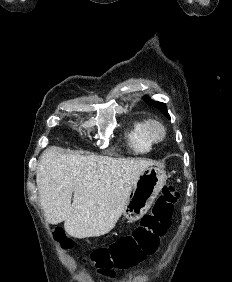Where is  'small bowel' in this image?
Here are the masks:
<instances>
[{
    "label": "small bowel",
    "mask_w": 232,
    "mask_h": 282,
    "mask_svg": "<svg viewBox=\"0 0 232 282\" xmlns=\"http://www.w3.org/2000/svg\"><path fill=\"white\" fill-rule=\"evenodd\" d=\"M110 275H111L114 279H117V278H118V276H117L115 273H113V272H110Z\"/></svg>",
    "instance_id": "c3829d8e"
}]
</instances>
